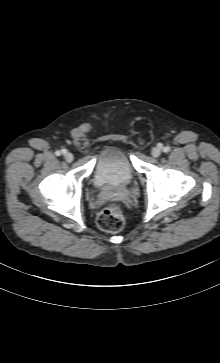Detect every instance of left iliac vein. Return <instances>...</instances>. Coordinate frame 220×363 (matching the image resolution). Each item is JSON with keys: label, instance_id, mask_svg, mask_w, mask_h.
<instances>
[{"label": "left iliac vein", "instance_id": "obj_1", "mask_svg": "<svg viewBox=\"0 0 220 363\" xmlns=\"http://www.w3.org/2000/svg\"><path fill=\"white\" fill-rule=\"evenodd\" d=\"M151 154L153 157H159L161 155V148L156 146L152 149Z\"/></svg>", "mask_w": 220, "mask_h": 363}]
</instances>
